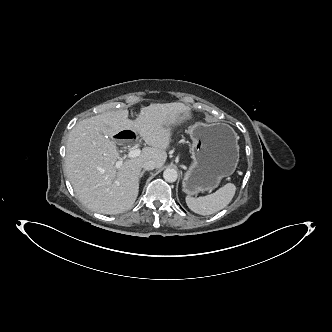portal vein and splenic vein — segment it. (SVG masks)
Here are the masks:
<instances>
[{
    "label": "portal vein and splenic vein",
    "instance_id": "1",
    "mask_svg": "<svg viewBox=\"0 0 332 332\" xmlns=\"http://www.w3.org/2000/svg\"><path fill=\"white\" fill-rule=\"evenodd\" d=\"M140 149L139 148H132L129 152H128V154H127V157L128 158H135V157H137V156H139L140 155ZM123 164V159H119L117 162H116V164H115V166H116V168H120V166Z\"/></svg>",
    "mask_w": 332,
    "mask_h": 332
}]
</instances>
